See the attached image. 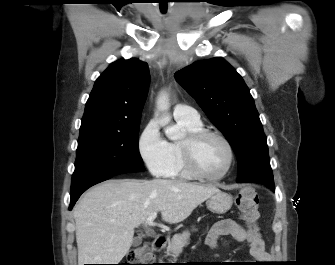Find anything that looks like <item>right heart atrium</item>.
Returning a JSON list of instances; mask_svg holds the SVG:
<instances>
[{
  "label": "right heart atrium",
  "instance_id": "obj_1",
  "mask_svg": "<svg viewBox=\"0 0 335 265\" xmlns=\"http://www.w3.org/2000/svg\"><path fill=\"white\" fill-rule=\"evenodd\" d=\"M139 154L154 176H165L172 163L169 142L162 135L158 123L151 119L138 139Z\"/></svg>",
  "mask_w": 335,
  "mask_h": 265
}]
</instances>
